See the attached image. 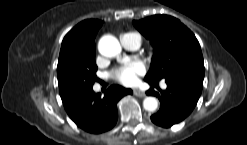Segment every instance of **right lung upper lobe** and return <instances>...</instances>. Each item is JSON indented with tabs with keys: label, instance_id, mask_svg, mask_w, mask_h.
<instances>
[{
	"label": "right lung upper lobe",
	"instance_id": "cb5924a9",
	"mask_svg": "<svg viewBox=\"0 0 247 145\" xmlns=\"http://www.w3.org/2000/svg\"><path fill=\"white\" fill-rule=\"evenodd\" d=\"M102 24V21L93 19L82 21L66 34L61 51L74 49L82 53H94V39Z\"/></svg>",
	"mask_w": 247,
	"mask_h": 145
}]
</instances>
